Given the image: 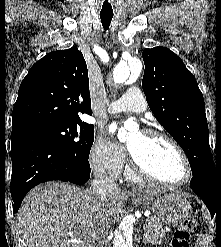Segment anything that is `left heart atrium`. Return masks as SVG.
Returning <instances> with one entry per match:
<instances>
[{
	"instance_id": "left-heart-atrium-1",
	"label": "left heart atrium",
	"mask_w": 221,
	"mask_h": 247,
	"mask_svg": "<svg viewBox=\"0 0 221 247\" xmlns=\"http://www.w3.org/2000/svg\"><path fill=\"white\" fill-rule=\"evenodd\" d=\"M117 126L116 125H110L108 128L109 133L114 134L116 132Z\"/></svg>"
}]
</instances>
